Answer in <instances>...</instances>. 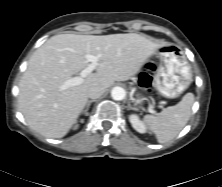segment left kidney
I'll return each mask as SVG.
<instances>
[{
  "mask_svg": "<svg viewBox=\"0 0 222 187\" xmlns=\"http://www.w3.org/2000/svg\"><path fill=\"white\" fill-rule=\"evenodd\" d=\"M129 121L132 124V127L139 133H145L147 131L144 123L139 119L138 115L132 114L129 116Z\"/></svg>",
  "mask_w": 222,
  "mask_h": 187,
  "instance_id": "left-kidney-1",
  "label": "left kidney"
}]
</instances>
